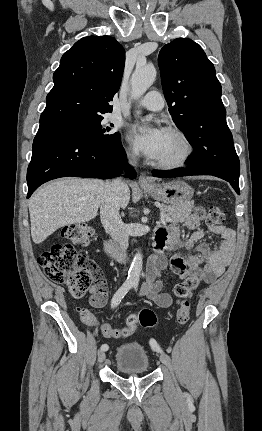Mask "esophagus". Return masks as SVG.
Listing matches in <instances>:
<instances>
[{
    "label": "esophagus",
    "mask_w": 262,
    "mask_h": 431,
    "mask_svg": "<svg viewBox=\"0 0 262 431\" xmlns=\"http://www.w3.org/2000/svg\"><path fill=\"white\" fill-rule=\"evenodd\" d=\"M151 184H152V182L148 176H146L145 174L140 175V177H139V185L140 186H148Z\"/></svg>",
    "instance_id": "1"
}]
</instances>
